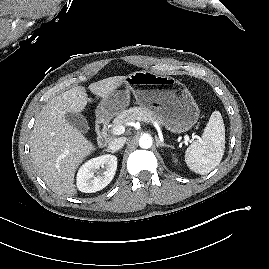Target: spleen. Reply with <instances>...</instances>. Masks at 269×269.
Instances as JSON below:
<instances>
[{
    "mask_svg": "<svg viewBox=\"0 0 269 269\" xmlns=\"http://www.w3.org/2000/svg\"><path fill=\"white\" fill-rule=\"evenodd\" d=\"M225 150V127L221 113L214 111L201 138L185 152V162L195 173L205 175L215 169Z\"/></svg>",
    "mask_w": 269,
    "mask_h": 269,
    "instance_id": "3e777b00",
    "label": "spleen"
}]
</instances>
